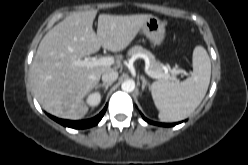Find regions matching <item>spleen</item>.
Here are the masks:
<instances>
[{"mask_svg": "<svg viewBox=\"0 0 248 165\" xmlns=\"http://www.w3.org/2000/svg\"><path fill=\"white\" fill-rule=\"evenodd\" d=\"M193 73L180 83L158 80L150 89L159 119L175 122L188 117L200 105L206 95L211 77V61L202 46L193 51Z\"/></svg>", "mask_w": 248, "mask_h": 165, "instance_id": "spleen-1", "label": "spleen"}]
</instances>
